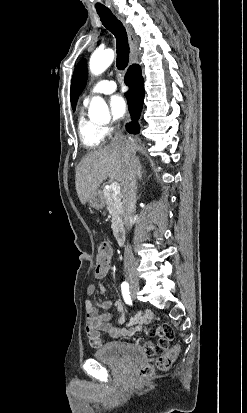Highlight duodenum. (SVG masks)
Returning <instances> with one entry per match:
<instances>
[{
  "label": "duodenum",
  "mask_w": 247,
  "mask_h": 413,
  "mask_svg": "<svg viewBox=\"0 0 247 413\" xmlns=\"http://www.w3.org/2000/svg\"><path fill=\"white\" fill-rule=\"evenodd\" d=\"M114 238L119 245H122L125 241V232L121 228H117L113 231Z\"/></svg>",
  "instance_id": "410a0bca"
}]
</instances>
